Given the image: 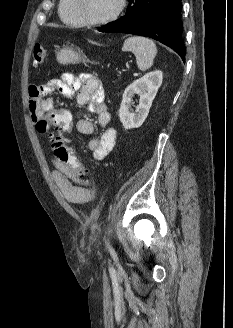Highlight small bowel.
<instances>
[{
  "label": "small bowel",
  "instance_id": "obj_1",
  "mask_svg": "<svg viewBox=\"0 0 233 328\" xmlns=\"http://www.w3.org/2000/svg\"><path fill=\"white\" fill-rule=\"evenodd\" d=\"M58 90L67 97H75L79 107H86L97 115L98 124L102 130L95 135L94 125L88 119L77 122V129L81 134L89 136L88 147L96 160L104 159L114 148L117 132L111 126V114L104 102V89L101 81L90 74H62L60 78L51 79L45 83L29 87V111L36 121L46 113L54 110L53 102L45 99L48 93ZM55 170L52 176L63 196L74 203H86L95 194L89 180L76 176L68 167L56 158L52 159Z\"/></svg>",
  "mask_w": 233,
  "mask_h": 328
}]
</instances>
